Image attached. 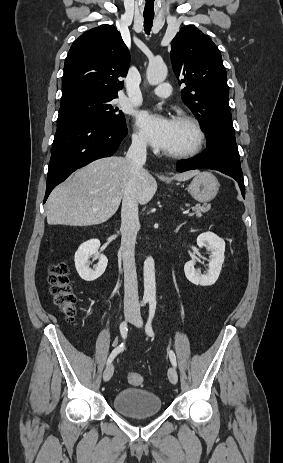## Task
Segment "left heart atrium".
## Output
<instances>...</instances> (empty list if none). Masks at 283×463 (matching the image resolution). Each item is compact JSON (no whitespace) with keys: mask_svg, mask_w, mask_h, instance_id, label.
I'll return each instance as SVG.
<instances>
[{"mask_svg":"<svg viewBox=\"0 0 283 463\" xmlns=\"http://www.w3.org/2000/svg\"><path fill=\"white\" fill-rule=\"evenodd\" d=\"M138 125L155 148L166 150L171 142L174 121L158 114L142 112L138 117Z\"/></svg>","mask_w":283,"mask_h":463,"instance_id":"obj_1","label":"left heart atrium"}]
</instances>
